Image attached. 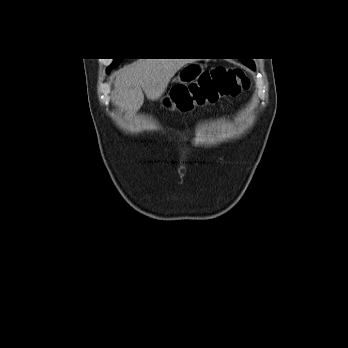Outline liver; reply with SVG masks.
<instances>
[{
	"label": "liver",
	"instance_id": "liver-1",
	"mask_svg": "<svg viewBox=\"0 0 348 348\" xmlns=\"http://www.w3.org/2000/svg\"><path fill=\"white\" fill-rule=\"evenodd\" d=\"M189 60L187 59H139L116 74L114 97L119 106L135 113L148 99L158 100L169 81Z\"/></svg>",
	"mask_w": 348,
	"mask_h": 348
}]
</instances>
